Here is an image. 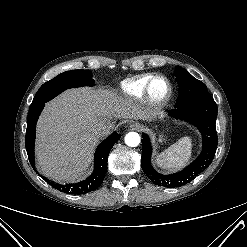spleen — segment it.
<instances>
[{
	"label": "spleen",
	"mask_w": 247,
	"mask_h": 247,
	"mask_svg": "<svg viewBox=\"0 0 247 247\" xmlns=\"http://www.w3.org/2000/svg\"><path fill=\"white\" fill-rule=\"evenodd\" d=\"M192 140L182 137L175 144L156 156V164L164 169L178 170L184 167L191 158Z\"/></svg>",
	"instance_id": "obj_1"
}]
</instances>
